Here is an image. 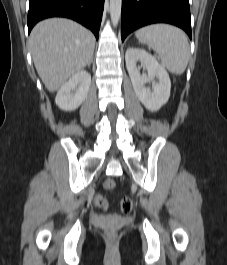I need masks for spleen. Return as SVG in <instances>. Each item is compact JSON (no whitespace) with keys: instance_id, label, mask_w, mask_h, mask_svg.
<instances>
[{"instance_id":"obj_1","label":"spleen","mask_w":227,"mask_h":265,"mask_svg":"<svg viewBox=\"0 0 227 265\" xmlns=\"http://www.w3.org/2000/svg\"><path fill=\"white\" fill-rule=\"evenodd\" d=\"M136 37L158 53L162 65L171 73H184L190 59V47L181 29L168 24H153L137 30Z\"/></svg>"}]
</instances>
